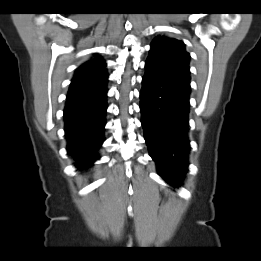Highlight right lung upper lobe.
<instances>
[{
  "label": "right lung upper lobe",
  "mask_w": 261,
  "mask_h": 261,
  "mask_svg": "<svg viewBox=\"0 0 261 261\" xmlns=\"http://www.w3.org/2000/svg\"><path fill=\"white\" fill-rule=\"evenodd\" d=\"M106 63L101 57H96L84 63L72 79L69 92L85 91L106 84L108 75Z\"/></svg>",
  "instance_id": "1"
}]
</instances>
